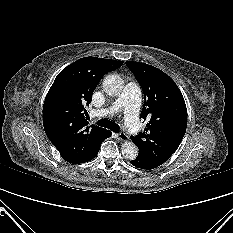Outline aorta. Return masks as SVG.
I'll use <instances>...</instances> for the list:
<instances>
[{
	"label": "aorta",
	"instance_id": "762f6f07",
	"mask_svg": "<svg viewBox=\"0 0 233 233\" xmlns=\"http://www.w3.org/2000/svg\"><path fill=\"white\" fill-rule=\"evenodd\" d=\"M102 86L108 95L117 96L122 91L123 80L118 75H107L103 79ZM121 152L126 159L133 160L138 155V148L132 141H125L121 146Z\"/></svg>",
	"mask_w": 233,
	"mask_h": 233
}]
</instances>
